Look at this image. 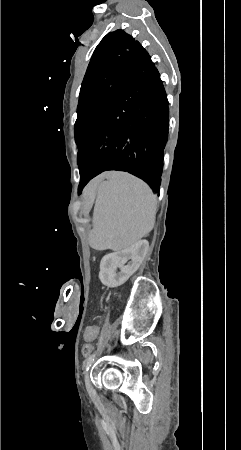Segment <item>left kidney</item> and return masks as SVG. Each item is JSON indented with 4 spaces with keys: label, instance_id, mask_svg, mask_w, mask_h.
<instances>
[{
    "label": "left kidney",
    "instance_id": "1",
    "mask_svg": "<svg viewBox=\"0 0 241 450\" xmlns=\"http://www.w3.org/2000/svg\"><path fill=\"white\" fill-rule=\"evenodd\" d=\"M148 248L149 242L147 240H140V242H136L130 248H126V250L104 256L100 262L99 272V278L102 284L108 286V288L122 286L134 272H137L148 252ZM128 260H131V262H128ZM127 262L128 266H125ZM117 268L121 270L119 274H116Z\"/></svg>",
    "mask_w": 241,
    "mask_h": 450
}]
</instances>
